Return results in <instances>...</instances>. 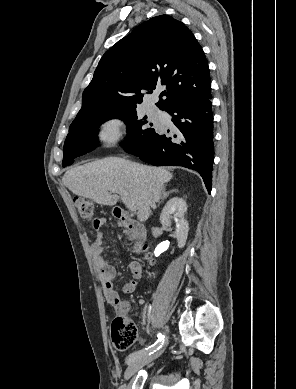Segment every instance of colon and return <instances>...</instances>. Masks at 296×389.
<instances>
[{"label": "colon", "instance_id": "5ec220e1", "mask_svg": "<svg viewBox=\"0 0 296 389\" xmlns=\"http://www.w3.org/2000/svg\"><path fill=\"white\" fill-rule=\"evenodd\" d=\"M74 203L83 220L93 224L97 221L96 208L93 202L84 198H76ZM144 249H146V246ZM146 257L150 263H153V259L149 254ZM110 334L114 346L119 350H126L135 341L137 329L128 319L117 316L111 323Z\"/></svg>", "mask_w": 296, "mask_h": 389}]
</instances>
